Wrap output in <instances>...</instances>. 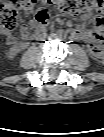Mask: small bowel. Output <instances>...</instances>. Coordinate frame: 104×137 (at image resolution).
Here are the masks:
<instances>
[{"mask_svg": "<svg viewBox=\"0 0 104 137\" xmlns=\"http://www.w3.org/2000/svg\"><path fill=\"white\" fill-rule=\"evenodd\" d=\"M82 19L84 21H92L93 18L91 17L90 14H84L82 16ZM59 22L63 23V20H59ZM37 28H40V26H39L38 22L34 19L30 22L29 25L22 26L20 38H16L12 34H6V44L10 47L17 49V50H21V49L25 48L29 44V42L32 40V38H33L32 34H33L34 30H36ZM72 37L85 42L87 44L88 48L90 49V51L92 52V54L96 58H102L103 52H100V53L94 52L93 45L95 43V40L92 38L91 34L88 31H86L83 28H75L72 31Z\"/></svg>", "mask_w": 104, "mask_h": 137, "instance_id": "small-bowel-1", "label": "small bowel"}]
</instances>
